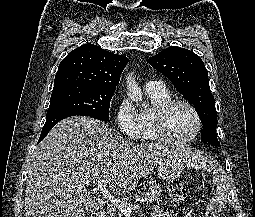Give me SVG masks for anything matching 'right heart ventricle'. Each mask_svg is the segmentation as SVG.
<instances>
[{"instance_id":"e07e8e85","label":"right heart ventricle","mask_w":255,"mask_h":217,"mask_svg":"<svg viewBox=\"0 0 255 217\" xmlns=\"http://www.w3.org/2000/svg\"><path fill=\"white\" fill-rule=\"evenodd\" d=\"M151 101V108L139 113L141 140H160L157 136L154 124L156 110L166 101L171 99L169 91L164 87L160 89H145Z\"/></svg>"}]
</instances>
